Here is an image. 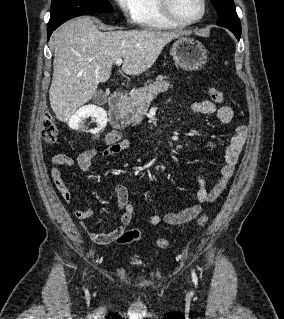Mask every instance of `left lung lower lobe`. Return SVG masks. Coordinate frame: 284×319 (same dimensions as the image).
<instances>
[{
	"mask_svg": "<svg viewBox=\"0 0 284 319\" xmlns=\"http://www.w3.org/2000/svg\"><path fill=\"white\" fill-rule=\"evenodd\" d=\"M229 29V28H227ZM237 38V40L239 41L240 36H241V31H237V30H233V29H229Z\"/></svg>",
	"mask_w": 284,
	"mask_h": 319,
	"instance_id": "1",
	"label": "left lung lower lobe"
}]
</instances>
